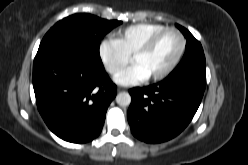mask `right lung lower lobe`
<instances>
[{
    "label": "right lung lower lobe",
    "instance_id": "right-lung-lower-lobe-1",
    "mask_svg": "<svg viewBox=\"0 0 248 165\" xmlns=\"http://www.w3.org/2000/svg\"><path fill=\"white\" fill-rule=\"evenodd\" d=\"M33 87L46 125L72 143H85L100 134L107 108L116 96V85L104 67L75 45L37 52Z\"/></svg>",
    "mask_w": 248,
    "mask_h": 165
}]
</instances>
